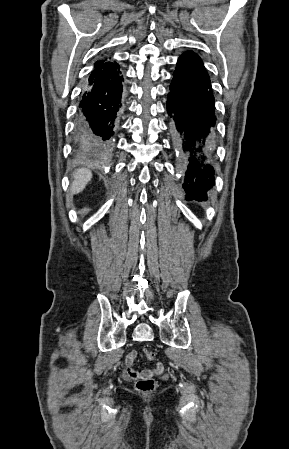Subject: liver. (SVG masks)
Here are the masks:
<instances>
[{
  "label": "liver",
  "instance_id": "6515ba94",
  "mask_svg": "<svg viewBox=\"0 0 289 449\" xmlns=\"http://www.w3.org/2000/svg\"><path fill=\"white\" fill-rule=\"evenodd\" d=\"M73 177L74 181L71 186V193L78 194L84 190L87 183L91 180L92 173L88 169L81 168L74 173Z\"/></svg>",
  "mask_w": 289,
  "mask_h": 449
}]
</instances>
